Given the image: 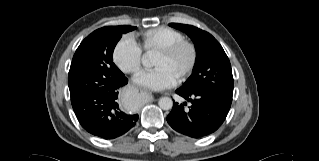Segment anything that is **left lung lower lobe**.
Returning <instances> with one entry per match:
<instances>
[{
    "label": "left lung lower lobe",
    "instance_id": "left-lung-lower-lobe-1",
    "mask_svg": "<svg viewBox=\"0 0 319 161\" xmlns=\"http://www.w3.org/2000/svg\"><path fill=\"white\" fill-rule=\"evenodd\" d=\"M176 93L189 103V107H184L186 102L180 105L174 102L167 122L175 131L189 137L201 138L215 132L231 107V102L200 90L179 88Z\"/></svg>",
    "mask_w": 319,
    "mask_h": 161
}]
</instances>
